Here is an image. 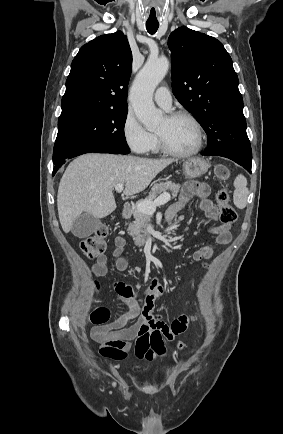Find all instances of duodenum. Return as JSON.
<instances>
[{"instance_id":"obj_1","label":"duodenum","mask_w":283,"mask_h":434,"mask_svg":"<svg viewBox=\"0 0 283 434\" xmlns=\"http://www.w3.org/2000/svg\"><path fill=\"white\" fill-rule=\"evenodd\" d=\"M132 210V204L131 203H126L123 208H122V217L126 218L129 216L130 212Z\"/></svg>"}]
</instances>
